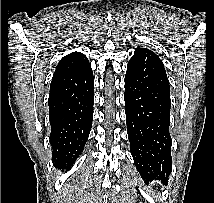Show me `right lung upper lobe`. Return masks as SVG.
Returning <instances> with one entry per match:
<instances>
[{
	"label": "right lung upper lobe",
	"instance_id": "obj_1",
	"mask_svg": "<svg viewBox=\"0 0 214 203\" xmlns=\"http://www.w3.org/2000/svg\"><path fill=\"white\" fill-rule=\"evenodd\" d=\"M88 62L89 60L86 58V56L80 52L68 54L63 57L56 66L53 79L73 72Z\"/></svg>",
	"mask_w": 214,
	"mask_h": 203
}]
</instances>
